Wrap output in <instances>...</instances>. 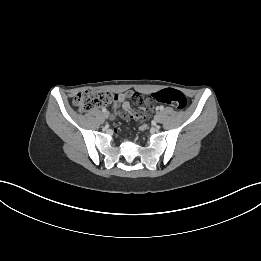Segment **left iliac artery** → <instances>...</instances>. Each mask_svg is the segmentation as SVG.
I'll return each mask as SVG.
<instances>
[{
    "label": "left iliac artery",
    "mask_w": 261,
    "mask_h": 261,
    "mask_svg": "<svg viewBox=\"0 0 261 261\" xmlns=\"http://www.w3.org/2000/svg\"><path fill=\"white\" fill-rule=\"evenodd\" d=\"M158 110H163L164 109V106H159L157 107Z\"/></svg>",
    "instance_id": "obj_1"
}]
</instances>
